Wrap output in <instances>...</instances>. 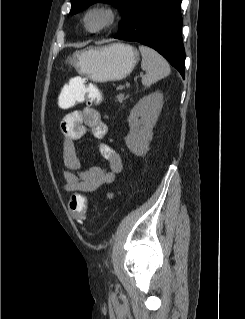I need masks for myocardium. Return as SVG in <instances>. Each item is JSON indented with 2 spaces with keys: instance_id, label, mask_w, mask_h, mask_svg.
<instances>
[{
  "instance_id": "f54148a6",
  "label": "myocardium",
  "mask_w": 245,
  "mask_h": 319,
  "mask_svg": "<svg viewBox=\"0 0 245 319\" xmlns=\"http://www.w3.org/2000/svg\"><path fill=\"white\" fill-rule=\"evenodd\" d=\"M102 15L104 17V22L97 26L91 27L89 20L93 15ZM117 20V12L114 8L108 5H93L89 7L83 17L84 28L93 34H98L111 28Z\"/></svg>"
}]
</instances>
